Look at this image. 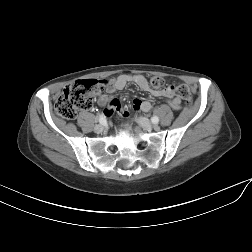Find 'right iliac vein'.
<instances>
[{
  "instance_id": "63e3f726",
  "label": "right iliac vein",
  "mask_w": 252,
  "mask_h": 252,
  "mask_svg": "<svg viewBox=\"0 0 252 252\" xmlns=\"http://www.w3.org/2000/svg\"><path fill=\"white\" fill-rule=\"evenodd\" d=\"M104 129H105V127L102 126L101 124H97V125L94 127V131H95L96 133H101V132L104 131Z\"/></svg>"
}]
</instances>
